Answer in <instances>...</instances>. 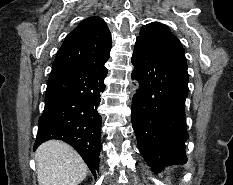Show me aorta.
<instances>
[{"label":"aorta","mask_w":233,"mask_h":185,"mask_svg":"<svg viewBox=\"0 0 233 185\" xmlns=\"http://www.w3.org/2000/svg\"><path fill=\"white\" fill-rule=\"evenodd\" d=\"M136 88H139V82L138 81L136 82Z\"/></svg>","instance_id":"aorta-1"}]
</instances>
